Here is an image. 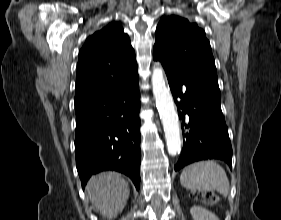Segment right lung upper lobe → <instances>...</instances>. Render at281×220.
I'll use <instances>...</instances> for the list:
<instances>
[{"label":"right lung upper lobe","mask_w":281,"mask_h":220,"mask_svg":"<svg viewBox=\"0 0 281 220\" xmlns=\"http://www.w3.org/2000/svg\"><path fill=\"white\" fill-rule=\"evenodd\" d=\"M138 79L135 52L119 23L89 36L79 53L75 108L118 92Z\"/></svg>","instance_id":"cb5924a9"}]
</instances>
